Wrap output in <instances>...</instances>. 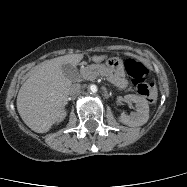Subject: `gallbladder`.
Listing matches in <instances>:
<instances>
[{
    "instance_id": "gallbladder-1",
    "label": "gallbladder",
    "mask_w": 187,
    "mask_h": 187,
    "mask_svg": "<svg viewBox=\"0 0 187 187\" xmlns=\"http://www.w3.org/2000/svg\"><path fill=\"white\" fill-rule=\"evenodd\" d=\"M62 71L67 78H71L75 73V68L70 64L62 65Z\"/></svg>"
}]
</instances>
